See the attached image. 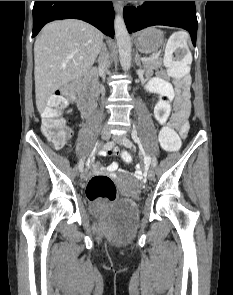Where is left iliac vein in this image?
Returning <instances> with one entry per match:
<instances>
[{"label": "left iliac vein", "mask_w": 233, "mask_h": 295, "mask_svg": "<svg viewBox=\"0 0 233 295\" xmlns=\"http://www.w3.org/2000/svg\"><path fill=\"white\" fill-rule=\"evenodd\" d=\"M113 139L118 144L123 145V146H125L127 148H130L132 146V144L131 145H125V140H129V139L126 136H124V135L123 136H115ZM147 178L149 180H153V178H154V171H153V169L150 168L148 170V172H147Z\"/></svg>", "instance_id": "left-iliac-vein-1"}]
</instances>
